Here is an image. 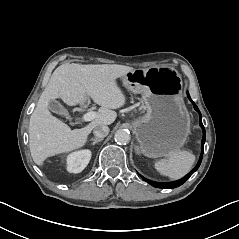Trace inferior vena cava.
<instances>
[{"label":"inferior vena cava","instance_id":"obj_1","mask_svg":"<svg viewBox=\"0 0 239 239\" xmlns=\"http://www.w3.org/2000/svg\"><path fill=\"white\" fill-rule=\"evenodd\" d=\"M93 133L96 137H106L109 134V127L106 125H98L94 128Z\"/></svg>","mask_w":239,"mask_h":239}]
</instances>
